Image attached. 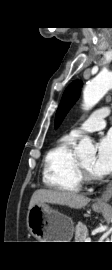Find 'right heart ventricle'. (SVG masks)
<instances>
[{"label":"right heart ventricle","mask_w":112,"mask_h":270,"mask_svg":"<svg viewBox=\"0 0 112 270\" xmlns=\"http://www.w3.org/2000/svg\"><path fill=\"white\" fill-rule=\"evenodd\" d=\"M75 137H62L46 154L43 167L44 184L56 191L78 193L82 182L73 152Z\"/></svg>","instance_id":"1"}]
</instances>
